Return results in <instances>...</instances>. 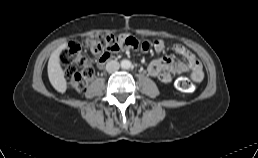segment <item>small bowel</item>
<instances>
[{"label":"small bowel","mask_w":258,"mask_h":158,"mask_svg":"<svg viewBox=\"0 0 258 158\" xmlns=\"http://www.w3.org/2000/svg\"><path fill=\"white\" fill-rule=\"evenodd\" d=\"M128 48H123L120 51H124ZM142 53H149L155 51L158 54L162 53L165 49V42L163 40H155L154 42L144 41L138 43L137 47L133 48ZM175 52L180 55L185 62H177L171 57L160 56L151 61L147 67L148 73L156 77L161 83L168 84L173 81V77L176 74L189 72L191 78L200 82L203 79L204 73L202 66L196 56L190 52L186 47L180 44L174 46ZM109 58L98 59L97 66H102Z\"/></svg>","instance_id":"small-bowel-1"}]
</instances>
